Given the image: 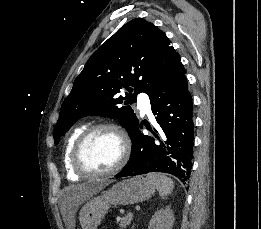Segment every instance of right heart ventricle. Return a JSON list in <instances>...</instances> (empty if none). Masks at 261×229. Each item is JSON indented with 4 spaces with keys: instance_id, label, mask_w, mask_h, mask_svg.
<instances>
[{
    "instance_id": "obj_1",
    "label": "right heart ventricle",
    "mask_w": 261,
    "mask_h": 229,
    "mask_svg": "<svg viewBox=\"0 0 261 229\" xmlns=\"http://www.w3.org/2000/svg\"><path fill=\"white\" fill-rule=\"evenodd\" d=\"M85 126L75 128L67 137L63 147V165L67 173L80 176V174L73 168L71 164L72 148L78 137L85 130Z\"/></svg>"
}]
</instances>
